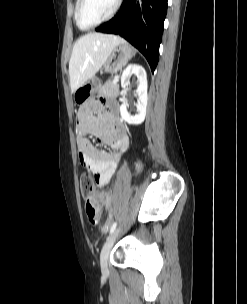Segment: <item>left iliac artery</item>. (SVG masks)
<instances>
[{"instance_id": "44dca946", "label": "left iliac artery", "mask_w": 247, "mask_h": 304, "mask_svg": "<svg viewBox=\"0 0 247 304\" xmlns=\"http://www.w3.org/2000/svg\"><path fill=\"white\" fill-rule=\"evenodd\" d=\"M117 222H114L110 228V234L116 229Z\"/></svg>"}]
</instances>
